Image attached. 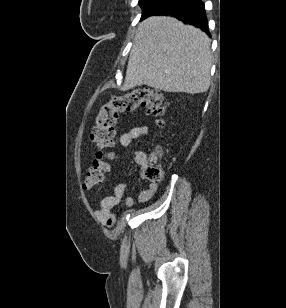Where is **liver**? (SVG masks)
<instances>
[{"label": "liver", "mask_w": 286, "mask_h": 308, "mask_svg": "<svg viewBox=\"0 0 286 308\" xmlns=\"http://www.w3.org/2000/svg\"><path fill=\"white\" fill-rule=\"evenodd\" d=\"M210 39L173 17L139 23L127 65L124 90L136 86L165 92L203 93L210 86Z\"/></svg>", "instance_id": "liver-1"}]
</instances>
